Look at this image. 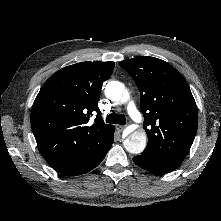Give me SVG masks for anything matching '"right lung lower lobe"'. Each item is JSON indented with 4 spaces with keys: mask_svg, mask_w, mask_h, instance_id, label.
<instances>
[{
    "mask_svg": "<svg viewBox=\"0 0 221 221\" xmlns=\"http://www.w3.org/2000/svg\"><path fill=\"white\" fill-rule=\"evenodd\" d=\"M113 135H114V130H113V134L110 139L108 147L102 153H100L99 155L94 157L92 160L86 162L84 165L79 166V167H77L73 170H70L68 172H64L62 174L68 175V176L81 175V174L91 171L93 168H95L97 165H99L101 163V161L104 159L105 155L107 154L108 150L111 148V146L114 142Z\"/></svg>",
    "mask_w": 221,
    "mask_h": 221,
    "instance_id": "98d812e1",
    "label": "right lung lower lobe"
}]
</instances>
